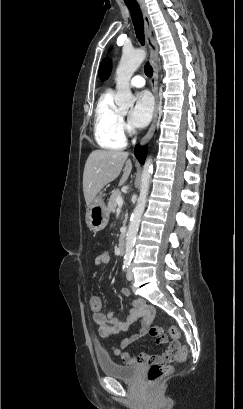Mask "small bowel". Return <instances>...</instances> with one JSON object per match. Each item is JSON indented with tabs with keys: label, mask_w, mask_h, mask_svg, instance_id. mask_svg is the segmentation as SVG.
I'll return each mask as SVG.
<instances>
[{
	"label": "small bowel",
	"mask_w": 243,
	"mask_h": 409,
	"mask_svg": "<svg viewBox=\"0 0 243 409\" xmlns=\"http://www.w3.org/2000/svg\"><path fill=\"white\" fill-rule=\"evenodd\" d=\"M110 261V255L106 251H101L97 258V264H107ZM121 293L124 296H131V291L128 288H122ZM155 318V308L153 305L146 303L143 299L137 298L132 302L129 314L125 319H121L118 316L116 310H111L107 314L102 312H92V320L98 326L99 335L103 338H110L113 335H116L122 331H126L129 327L136 321L141 320V327L137 333L131 334L120 343V347L115 345L109 346V351L118 356L124 363L128 365L133 364H143L151 361L159 362H173L177 358L178 347L176 343H171L169 348L160 355L150 357L147 354H141L139 356H132L123 349L127 348L133 342L137 341L139 338L146 336L150 332L151 324ZM169 343V339L164 337L163 340L158 341V345H166Z\"/></svg>",
	"instance_id": "obj_1"
}]
</instances>
